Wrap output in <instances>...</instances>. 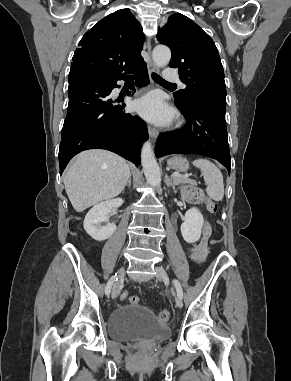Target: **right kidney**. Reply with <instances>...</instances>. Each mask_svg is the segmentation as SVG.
Returning a JSON list of instances; mask_svg holds the SVG:
<instances>
[{"label":"right kidney","instance_id":"right-kidney-1","mask_svg":"<svg viewBox=\"0 0 291 381\" xmlns=\"http://www.w3.org/2000/svg\"><path fill=\"white\" fill-rule=\"evenodd\" d=\"M123 203L121 198H115L96 204L89 210L84 219V229L96 241L108 239L116 230V225L109 223V214ZM102 223L106 225L102 226Z\"/></svg>","mask_w":291,"mask_h":381}]
</instances>
